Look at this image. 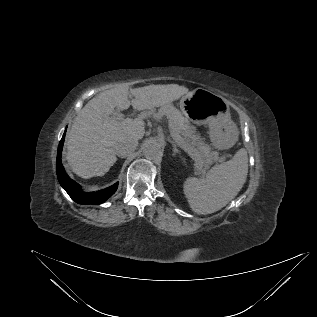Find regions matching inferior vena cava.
Wrapping results in <instances>:
<instances>
[{
  "label": "inferior vena cava",
  "mask_w": 317,
  "mask_h": 317,
  "mask_svg": "<svg viewBox=\"0 0 317 317\" xmlns=\"http://www.w3.org/2000/svg\"><path fill=\"white\" fill-rule=\"evenodd\" d=\"M138 145L137 140L129 139L118 143L115 146L116 155L125 157L130 152L134 151Z\"/></svg>",
  "instance_id": "obj_1"
}]
</instances>
